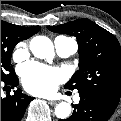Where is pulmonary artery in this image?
Returning a JSON list of instances; mask_svg holds the SVG:
<instances>
[{
	"label": "pulmonary artery",
	"mask_w": 121,
	"mask_h": 121,
	"mask_svg": "<svg viewBox=\"0 0 121 121\" xmlns=\"http://www.w3.org/2000/svg\"><path fill=\"white\" fill-rule=\"evenodd\" d=\"M54 45H55L57 54L62 58L72 56L73 54L76 53L78 49V45L75 40L69 39L63 36H59L55 38ZM74 100L76 102H79L80 96L78 94L75 95Z\"/></svg>",
	"instance_id": "e3ab8cb5"
}]
</instances>
